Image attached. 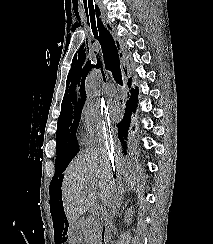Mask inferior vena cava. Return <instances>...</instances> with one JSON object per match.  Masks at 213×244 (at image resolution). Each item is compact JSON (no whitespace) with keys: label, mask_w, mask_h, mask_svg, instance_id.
<instances>
[{"label":"inferior vena cava","mask_w":213,"mask_h":244,"mask_svg":"<svg viewBox=\"0 0 213 244\" xmlns=\"http://www.w3.org/2000/svg\"><path fill=\"white\" fill-rule=\"evenodd\" d=\"M115 141L117 140L116 138L114 139ZM110 160V168L112 169V172L114 173V179L116 180L117 176L115 173L117 172L116 165H115V159L114 157L117 156L118 148L116 145L111 147V149L107 150ZM121 203V191L119 186H114L113 187V192L110 194V196L104 201L105 206H107V216H108V221L110 222L111 219L114 217L117 208L119 207Z\"/></svg>","instance_id":"602c4592"}]
</instances>
